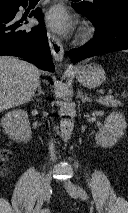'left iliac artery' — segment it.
I'll list each match as a JSON object with an SVG mask.
<instances>
[{"mask_svg": "<svg viewBox=\"0 0 128 213\" xmlns=\"http://www.w3.org/2000/svg\"><path fill=\"white\" fill-rule=\"evenodd\" d=\"M77 189H78V193H79L80 197L83 200H86L88 198L86 191L83 188H81L80 186H78Z\"/></svg>", "mask_w": 128, "mask_h": 213, "instance_id": "obj_1", "label": "left iliac artery"}]
</instances>
